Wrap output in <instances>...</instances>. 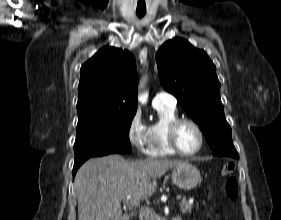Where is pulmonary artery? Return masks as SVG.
<instances>
[{
    "label": "pulmonary artery",
    "instance_id": "e3ab8cb5",
    "mask_svg": "<svg viewBox=\"0 0 281 220\" xmlns=\"http://www.w3.org/2000/svg\"><path fill=\"white\" fill-rule=\"evenodd\" d=\"M176 103V98L172 94L164 91L157 92L152 100L153 106L175 107Z\"/></svg>",
    "mask_w": 281,
    "mask_h": 220
}]
</instances>
